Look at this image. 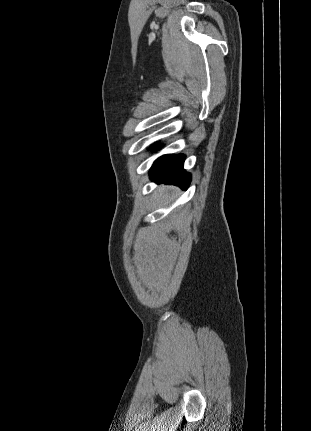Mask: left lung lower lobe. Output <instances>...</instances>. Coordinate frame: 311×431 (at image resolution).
<instances>
[{"mask_svg":"<svg viewBox=\"0 0 311 431\" xmlns=\"http://www.w3.org/2000/svg\"><path fill=\"white\" fill-rule=\"evenodd\" d=\"M184 159V155H164L158 158L150 169V178L157 183L174 184L186 190L191 176L183 169Z\"/></svg>","mask_w":311,"mask_h":431,"instance_id":"1","label":"left lung lower lobe"}]
</instances>
